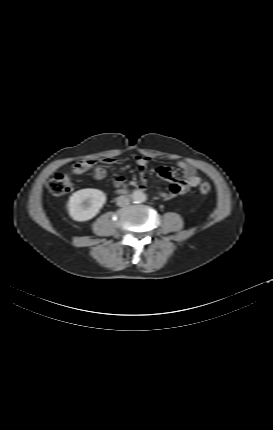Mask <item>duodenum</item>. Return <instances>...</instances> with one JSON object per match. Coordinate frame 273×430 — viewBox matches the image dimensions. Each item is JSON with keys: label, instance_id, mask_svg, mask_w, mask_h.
<instances>
[{"label": "duodenum", "instance_id": "1", "mask_svg": "<svg viewBox=\"0 0 273 430\" xmlns=\"http://www.w3.org/2000/svg\"><path fill=\"white\" fill-rule=\"evenodd\" d=\"M119 192H120V193H124V192H125V189H121V190H119Z\"/></svg>", "mask_w": 273, "mask_h": 430}]
</instances>
